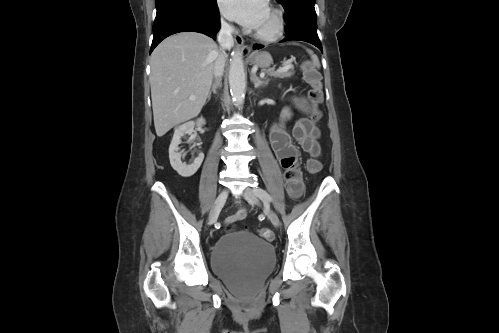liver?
Wrapping results in <instances>:
<instances>
[{"instance_id": "liver-1", "label": "liver", "mask_w": 499, "mask_h": 333, "mask_svg": "<svg viewBox=\"0 0 499 333\" xmlns=\"http://www.w3.org/2000/svg\"><path fill=\"white\" fill-rule=\"evenodd\" d=\"M217 44L196 32H181L162 41L150 59L155 131L164 136L201 112L210 91ZM195 96L190 100V96Z\"/></svg>"}]
</instances>
